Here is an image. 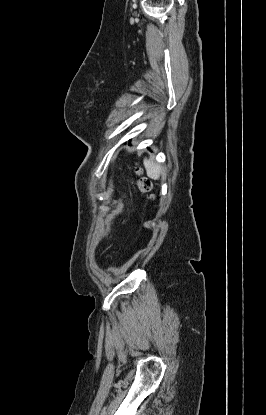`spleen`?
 <instances>
[{
    "mask_svg": "<svg viewBox=\"0 0 266 415\" xmlns=\"http://www.w3.org/2000/svg\"><path fill=\"white\" fill-rule=\"evenodd\" d=\"M147 176L151 179L158 180L163 172V168L156 164L152 159H144Z\"/></svg>",
    "mask_w": 266,
    "mask_h": 415,
    "instance_id": "obj_1",
    "label": "spleen"
}]
</instances>
